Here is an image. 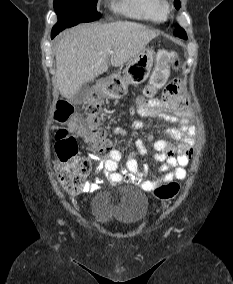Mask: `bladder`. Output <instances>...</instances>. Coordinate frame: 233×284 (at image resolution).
I'll use <instances>...</instances> for the list:
<instances>
[{
    "label": "bladder",
    "mask_w": 233,
    "mask_h": 284,
    "mask_svg": "<svg viewBox=\"0 0 233 284\" xmlns=\"http://www.w3.org/2000/svg\"><path fill=\"white\" fill-rule=\"evenodd\" d=\"M89 212L101 225L117 222L135 228L146 219L149 200L143 191L134 187H126L118 194L101 191L90 200Z\"/></svg>",
    "instance_id": "1"
}]
</instances>
